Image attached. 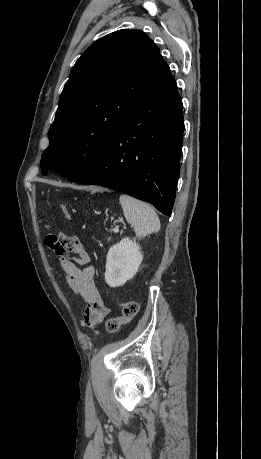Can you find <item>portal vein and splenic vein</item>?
<instances>
[{"label":"portal vein and splenic vein","instance_id":"obj_1","mask_svg":"<svg viewBox=\"0 0 261 459\" xmlns=\"http://www.w3.org/2000/svg\"><path fill=\"white\" fill-rule=\"evenodd\" d=\"M113 231H114V233H118L119 232V228L116 227V228L113 229Z\"/></svg>","mask_w":261,"mask_h":459}]
</instances>
